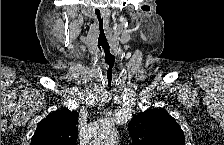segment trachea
Listing matches in <instances>:
<instances>
[{
	"mask_svg": "<svg viewBox=\"0 0 224 145\" xmlns=\"http://www.w3.org/2000/svg\"><path fill=\"white\" fill-rule=\"evenodd\" d=\"M106 48L107 49H106L105 55H108L110 57V59H107L108 60L107 78H108V82H111L112 76H113V67L115 63V57L110 54L108 45H106Z\"/></svg>",
	"mask_w": 224,
	"mask_h": 145,
	"instance_id": "1",
	"label": "trachea"
}]
</instances>
